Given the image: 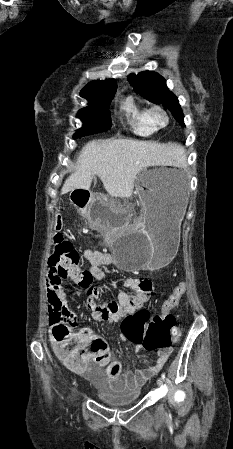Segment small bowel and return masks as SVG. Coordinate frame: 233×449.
<instances>
[{"label": "small bowel", "instance_id": "obj_1", "mask_svg": "<svg viewBox=\"0 0 233 449\" xmlns=\"http://www.w3.org/2000/svg\"><path fill=\"white\" fill-rule=\"evenodd\" d=\"M83 257L86 260V272L81 273L80 268H68L62 273L57 265L50 266L46 277L47 299L49 309L52 312L55 309H61L67 305L68 294L62 287V282L69 277L75 281L82 282L83 279L104 280L108 278L107 273L103 269L105 265L112 263L113 258L107 252H101L92 249H84ZM125 290L118 294L117 301L99 300L97 304L89 303L87 308L91 311V316L96 321L123 322L130 319L133 314H137V309L146 303L155 284L152 278H148L147 274H134L133 276H125L123 281ZM101 289L96 287L92 292V301L101 296ZM144 325V323H142ZM119 340L127 341V338ZM72 343L78 342L76 336H71ZM52 343L57 350L58 343L52 338ZM137 351H142L139 343H133ZM75 346V345H74ZM76 353L79 354L85 365L82 369L91 373L99 372L109 363V355L107 359L98 361L92 353H82L80 345L75 346ZM168 351H159L155 364L146 368H139L134 372L120 373V364L118 362L111 363L107 368V378L109 382L117 388H135L144 385L152 376L156 375L165 364L168 358Z\"/></svg>", "mask_w": 233, "mask_h": 449}]
</instances>
